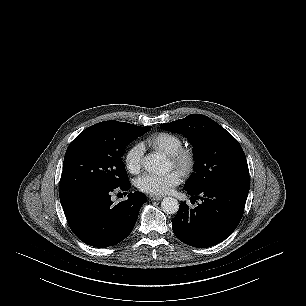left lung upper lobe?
I'll use <instances>...</instances> for the list:
<instances>
[{
    "instance_id": "5c2ea615",
    "label": "left lung upper lobe",
    "mask_w": 306,
    "mask_h": 306,
    "mask_svg": "<svg viewBox=\"0 0 306 306\" xmlns=\"http://www.w3.org/2000/svg\"><path fill=\"white\" fill-rule=\"evenodd\" d=\"M160 128L180 133L193 146L195 172L185 190H197L216 183L249 184V170L239 142L222 126L201 114L161 124Z\"/></svg>"
}]
</instances>
